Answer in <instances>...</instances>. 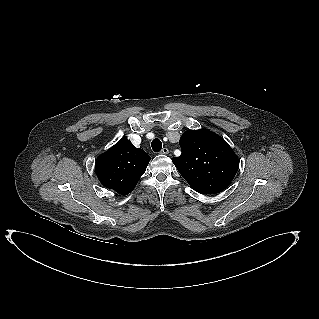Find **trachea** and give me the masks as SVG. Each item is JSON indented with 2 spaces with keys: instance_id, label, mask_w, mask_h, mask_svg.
<instances>
[{
  "instance_id": "trachea-1",
  "label": "trachea",
  "mask_w": 319,
  "mask_h": 319,
  "mask_svg": "<svg viewBox=\"0 0 319 319\" xmlns=\"http://www.w3.org/2000/svg\"><path fill=\"white\" fill-rule=\"evenodd\" d=\"M151 147L154 152H159L162 149V143L158 138H155L151 143Z\"/></svg>"
}]
</instances>
